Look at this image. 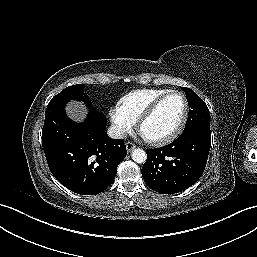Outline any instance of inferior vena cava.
<instances>
[{
  "mask_svg": "<svg viewBox=\"0 0 257 257\" xmlns=\"http://www.w3.org/2000/svg\"><path fill=\"white\" fill-rule=\"evenodd\" d=\"M107 134L112 139H124L127 137V132L116 125L110 126L108 128Z\"/></svg>",
  "mask_w": 257,
  "mask_h": 257,
  "instance_id": "obj_1",
  "label": "inferior vena cava"
}]
</instances>
